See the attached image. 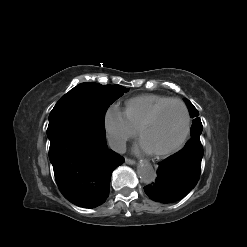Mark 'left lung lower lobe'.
Wrapping results in <instances>:
<instances>
[{
  "mask_svg": "<svg viewBox=\"0 0 247 247\" xmlns=\"http://www.w3.org/2000/svg\"><path fill=\"white\" fill-rule=\"evenodd\" d=\"M203 147L199 138H191L184 148L159 163L155 183L144 187L154 201L170 203L185 197L197 184Z\"/></svg>",
  "mask_w": 247,
  "mask_h": 247,
  "instance_id": "1",
  "label": "left lung lower lobe"
}]
</instances>
